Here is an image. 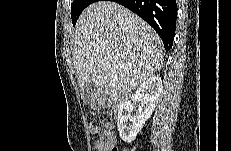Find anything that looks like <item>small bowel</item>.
<instances>
[{
  "mask_svg": "<svg viewBox=\"0 0 231 151\" xmlns=\"http://www.w3.org/2000/svg\"><path fill=\"white\" fill-rule=\"evenodd\" d=\"M91 130L95 132L96 131L95 126L92 125ZM114 144H115L114 139H111L109 142H106L102 138H99L96 142L95 148L96 151H112Z\"/></svg>",
  "mask_w": 231,
  "mask_h": 151,
  "instance_id": "small-bowel-1",
  "label": "small bowel"
}]
</instances>
